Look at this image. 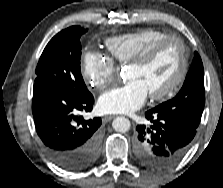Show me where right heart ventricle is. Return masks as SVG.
I'll return each mask as SVG.
<instances>
[{
  "label": "right heart ventricle",
  "instance_id": "right-heart-ventricle-1",
  "mask_svg": "<svg viewBox=\"0 0 223 188\" xmlns=\"http://www.w3.org/2000/svg\"><path fill=\"white\" fill-rule=\"evenodd\" d=\"M167 36L155 28H145L136 32L111 37L105 46L111 59L119 64H127L149 45Z\"/></svg>",
  "mask_w": 223,
  "mask_h": 188
}]
</instances>
